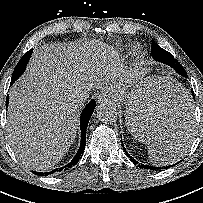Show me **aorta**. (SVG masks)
<instances>
[{
    "instance_id": "1",
    "label": "aorta",
    "mask_w": 203,
    "mask_h": 203,
    "mask_svg": "<svg viewBox=\"0 0 203 203\" xmlns=\"http://www.w3.org/2000/svg\"><path fill=\"white\" fill-rule=\"evenodd\" d=\"M97 118L103 123H113L117 120L116 108L109 103H103L96 109Z\"/></svg>"
}]
</instances>
